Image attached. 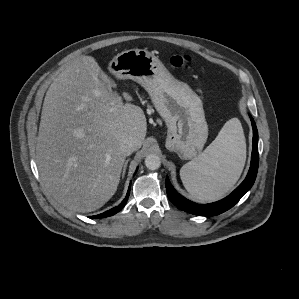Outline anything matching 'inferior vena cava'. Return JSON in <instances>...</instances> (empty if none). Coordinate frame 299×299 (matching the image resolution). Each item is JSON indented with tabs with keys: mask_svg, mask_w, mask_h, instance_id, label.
Instances as JSON below:
<instances>
[{
	"mask_svg": "<svg viewBox=\"0 0 299 299\" xmlns=\"http://www.w3.org/2000/svg\"><path fill=\"white\" fill-rule=\"evenodd\" d=\"M120 151L128 156L136 150V143L133 140H124L120 143Z\"/></svg>",
	"mask_w": 299,
	"mask_h": 299,
	"instance_id": "obj_1",
	"label": "inferior vena cava"
}]
</instances>
